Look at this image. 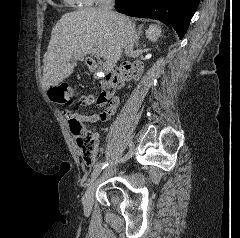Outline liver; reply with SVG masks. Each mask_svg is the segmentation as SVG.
Instances as JSON below:
<instances>
[{"label":"liver","instance_id":"liver-1","mask_svg":"<svg viewBox=\"0 0 240 238\" xmlns=\"http://www.w3.org/2000/svg\"><path fill=\"white\" fill-rule=\"evenodd\" d=\"M117 15L119 20H111L95 8H84L61 17L52 29L43 59L45 90L73 73V61L87 54V46L92 45L113 65L121 59L124 35L129 27H135V23L124 15Z\"/></svg>","mask_w":240,"mask_h":238}]
</instances>
